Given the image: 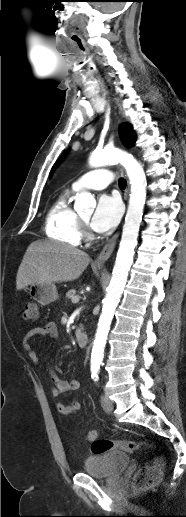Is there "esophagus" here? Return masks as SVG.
Wrapping results in <instances>:
<instances>
[{"instance_id":"34e87169","label":"esophagus","mask_w":186,"mask_h":517,"mask_svg":"<svg viewBox=\"0 0 186 517\" xmlns=\"http://www.w3.org/2000/svg\"><path fill=\"white\" fill-rule=\"evenodd\" d=\"M128 192H129V185H128V188L126 190V196L128 195ZM118 237H119V233L117 232L115 235H113L110 238V240L103 247V249L100 252V254L94 260V264L95 265L103 266L106 263V261L110 258L111 254L113 253V251L115 249Z\"/></svg>"}]
</instances>
